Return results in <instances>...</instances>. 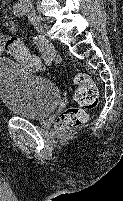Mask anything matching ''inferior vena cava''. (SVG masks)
<instances>
[{
	"instance_id": "obj_1",
	"label": "inferior vena cava",
	"mask_w": 123,
	"mask_h": 201,
	"mask_svg": "<svg viewBox=\"0 0 123 201\" xmlns=\"http://www.w3.org/2000/svg\"><path fill=\"white\" fill-rule=\"evenodd\" d=\"M20 2L25 6H32L31 0H20Z\"/></svg>"
}]
</instances>
